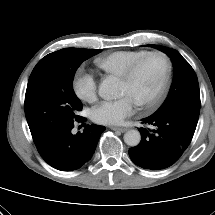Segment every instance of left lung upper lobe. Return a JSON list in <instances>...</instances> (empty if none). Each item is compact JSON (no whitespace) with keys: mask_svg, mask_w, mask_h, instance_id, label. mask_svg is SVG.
<instances>
[{"mask_svg":"<svg viewBox=\"0 0 215 215\" xmlns=\"http://www.w3.org/2000/svg\"><path fill=\"white\" fill-rule=\"evenodd\" d=\"M166 53L174 65V78L168 96L154 114H181L198 122L200 91L197 76L190 64L174 49L153 45Z\"/></svg>","mask_w":215,"mask_h":215,"instance_id":"left-lung-upper-lobe-1","label":"left lung upper lobe"}]
</instances>
